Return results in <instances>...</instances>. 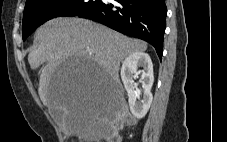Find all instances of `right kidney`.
Returning <instances> with one entry per match:
<instances>
[{
	"instance_id": "1",
	"label": "right kidney",
	"mask_w": 227,
	"mask_h": 142,
	"mask_svg": "<svg viewBox=\"0 0 227 142\" xmlns=\"http://www.w3.org/2000/svg\"><path fill=\"white\" fill-rule=\"evenodd\" d=\"M138 67L143 68L142 71H138ZM142 72L141 83L144 89L143 99L139 98V94L136 91L137 84L134 82V78ZM121 79L128 94V102L131 113L137 118H143L152 103L151 88L154 82L153 76V64L150 56L144 52H136L129 55L122 63Z\"/></svg>"
}]
</instances>
